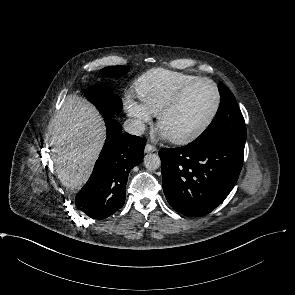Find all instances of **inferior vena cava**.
I'll return each instance as SVG.
<instances>
[{"label": "inferior vena cava", "mask_w": 295, "mask_h": 295, "mask_svg": "<svg viewBox=\"0 0 295 295\" xmlns=\"http://www.w3.org/2000/svg\"><path fill=\"white\" fill-rule=\"evenodd\" d=\"M124 130L129 134L140 136L145 131V125L138 119H127L124 122Z\"/></svg>", "instance_id": "602c4592"}]
</instances>
